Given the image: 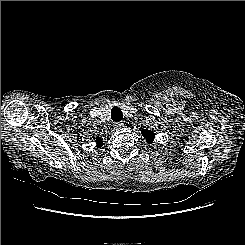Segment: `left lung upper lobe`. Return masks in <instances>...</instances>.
<instances>
[{
	"label": "left lung upper lobe",
	"mask_w": 245,
	"mask_h": 245,
	"mask_svg": "<svg viewBox=\"0 0 245 245\" xmlns=\"http://www.w3.org/2000/svg\"><path fill=\"white\" fill-rule=\"evenodd\" d=\"M141 133H142L143 137L147 139L148 143L152 142L154 140L155 136H154L153 131H150L148 129H142Z\"/></svg>",
	"instance_id": "left-lung-upper-lobe-1"
}]
</instances>
